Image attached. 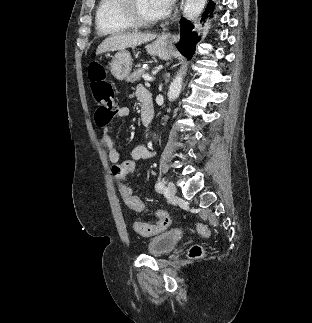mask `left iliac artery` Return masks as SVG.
<instances>
[{
    "instance_id": "44dca946",
    "label": "left iliac artery",
    "mask_w": 312,
    "mask_h": 323,
    "mask_svg": "<svg viewBox=\"0 0 312 323\" xmlns=\"http://www.w3.org/2000/svg\"><path fill=\"white\" fill-rule=\"evenodd\" d=\"M156 190L157 191H160L164 188V182L163 181H159L157 184H156Z\"/></svg>"
}]
</instances>
